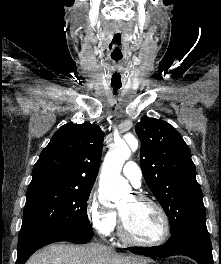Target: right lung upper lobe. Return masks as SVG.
Returning <instances> with one entry per match:
<instances>
[{
	"instance_id": "right-lung-upper-lobe-1",
	"label": "right lung upper lobe",
	"mask_w": 221,
	"mask_h": 264,
	"mask_svg": "<svg viewBox=\"0 0 221 264\" xmlns=\"http://www.w3.org/2000/svg\"><path fill=\"white\" fill-rule=\"evenodd\" d=\"M103 132L89 122L65 124L43 149L28 190L48 186L92 188L99 170Z\"/></svg>"
}]
</instances>
